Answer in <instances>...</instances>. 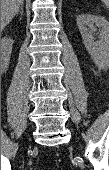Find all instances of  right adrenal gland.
<instances>
[{"label": "right adrenal gland", "instance_id": "right-adrenal-gland-1", "mask_svg": "<svg viewBox=\"0 0 109 170\" xmlns=\"http://www.w3.org/2000/svg\"><path fill=\"white\" fill-rule=\"evenodd\" d=\"M20 13L21 16H23V4L20 6V10L17 12V15Z\"/></svg>", "mask_w": 109, "mask_h": 170}]
</instances>
